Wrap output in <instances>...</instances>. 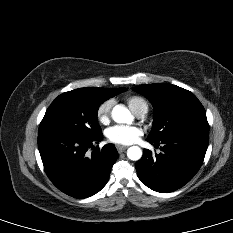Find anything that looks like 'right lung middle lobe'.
Wrapping results in <instances>:
<instances>
[{
    "mask_svg": "<svg viewBox=\"0 0 233 233\" xmlns=\"http://www.w3.org/2000/svg\"><path fill=\"white\" fill-rule=\"evenodd\" d=\"M105 99L78 89L59 95L48 107L38 130L39 134L61 132L83 137L101 135L97 122L99 105Z\"/></svg>",
    "mask_w": 233,
    "mask_h": 233,
    "instance_id": "right-lung-middle-lobe-1",
    "label": "right lung middle lobe"
}]
</instances>
